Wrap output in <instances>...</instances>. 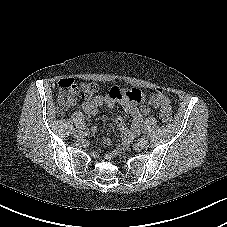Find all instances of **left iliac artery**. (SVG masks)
<instances>
[{
	"instance_id": "obj_1",
	"label": "left iliac artery",
	"mask_w": 227,
	"mask_h": 227,
	"mask_svg": "<svg viewBox=\"0 0 227 227\" xmlns=\"http://www.w3.org/2000/svg\"><path fill=\"white\" fill-rule=\"evenodd\" d=\"M143 136H144V138H148V134L146 132L144 133Z\"/></svg>"
}]
</instances>
